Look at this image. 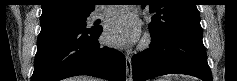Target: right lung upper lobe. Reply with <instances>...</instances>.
<instances>
[{"label":"right lung upper lobe","instance_id":"cb5924a9","mask_svg":"<svg viewBox=\"0 0 237 81\" xmlns=\"http://www.w3.org/2000/svg\"><path fill=\"white\" fill-rule=\"evenodd\" d=\"M94 10L92 0H43L40 21L86 16Z\"/></svg>","mask_w":237,"mask_h":81}]
</instances>
